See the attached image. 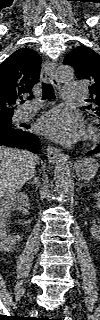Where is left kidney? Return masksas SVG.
I'll return each instance as SVG.
<instances>
[{
	"label": "left kidney",
	"instance_id": "1",
	"mask_svg": "<svg viewBox=\"0 0 100 320\" xmlns=\"http://www.w3.org/2000/svg\"><path fill=\"white\" fill-rule=\"evenodd\" d=\"M93 197L98 198L99 197V193H95L93 195ZM91 234L95 239H99L100 238V228L97 225H93L91 228Z\"/></svg>",
	"mask_w": 100,
	"mask_h": 320
}]
</instances>
